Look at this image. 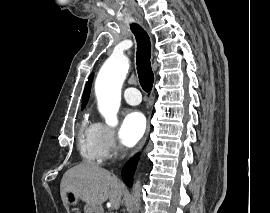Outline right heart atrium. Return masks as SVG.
<instances>
[{
	"label": "right heart atrium",
	"mask_w": 270,
	"mask_h": 213,
	"mask_svg": "<svg viewBox=\"0 0 270 213\" xmlns=\"http://www.w3.org/2000/svg\"><path fill=\"white\" fill-rule=\"evenodd\" d=\"M101 126V141L106 153V158L118 155L121 152L120 146L116 142L115 130L105 124Z\"/></svg>",
	"instance_id": "obj_1"
}]
</instances>
